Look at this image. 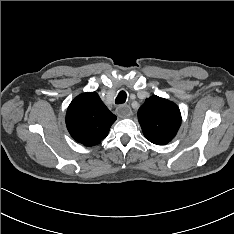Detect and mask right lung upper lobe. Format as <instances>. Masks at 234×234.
Listing matches in <instances>:
<instances>
[{"label":"right lung upper lobe","mask_w":234,"mask_h":234,"mask_svg":"<svg viewBox=\"0 0 234 234\" xmlns=\"http://www.w3.org/2000/svg\"><path fill=\"white\" fill-rule=\"evenodd\" d=\"M116 116L96 92L77 96L69 105L66 126L70 135L85 146L99 144L107 135Z\"/></svg>","instance_id":"1"}]
</instances>
